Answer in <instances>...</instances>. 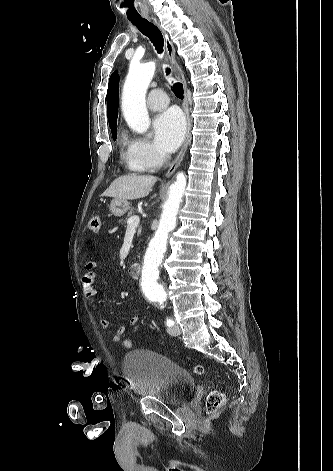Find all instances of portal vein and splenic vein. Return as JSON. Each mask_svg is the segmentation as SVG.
<instances>
[{"label": "portal vein and splenic vein", "mask_w": 333, "mask_h": 471, "mask_svg": "<svg viewBox=\"0 0 333 471\" xmlns=\"http://www.w3.org/2000/svg\"><path fill=\"white\" fill-rule=\"evenodd\" d=\"M140 222L139 216H132L127 220L128 225H134L137 226Z\"/></svg>", "instance_id": "1"}]
</instances>
